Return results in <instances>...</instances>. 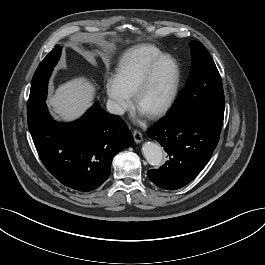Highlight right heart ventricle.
Wrapping results in <instances>:
<instances>
[{
  "label": "right heart ventricle",
  "instance_id": "1",
  "mask_svg": "<svg viewBox=\"0 0 265 265\" xmlns=\"http://www.w3.org/2000/svg\"><path fill=\"white\" fill-rule=\"evenodd\" d=\"M162 51L151 44H140L129 49L120 59L113 79L117 86L129 97L153 60Z\"/></svg>",
  "mask_w": 265,
  "mask_h": 265
}]
</instances>
